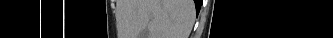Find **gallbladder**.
<instances>
[{
	"label": "gallbladder",
	"mask_w": 333,
	"mask_h": 38,
	"mask_svg": "<svg viewBox=\"0 0 333 38\" xmlns=\"http://www.w3.org/2000/svg\"><path fill=\"white\" fill-rule=\"evenodd\" d=\"M149 31L147 28H145L144 30H142V32L140 33L139 38H149Z\"/></svg>",
	"instance_id": "gallbladder-1"
}]
</instances>
